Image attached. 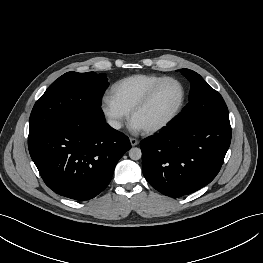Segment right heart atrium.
<instances>
[{
    "instance_id": "right-heart-atrium-1",
    "label": "right heart atrium",
    "mask_w": 263,
    "mask_h": 263,
    "mask_svg": "<svg viewBox=\"0 0 263 263\" xmlns=\"http://www.w3.org/2000/svg\"><path fill=\"white\" fill-rule=\"evenodd\" d=\"M101 110L111 128L118 130L128 117V112L120 107L110 94L101 101Z\"/></svg>"
}]
</instances>
